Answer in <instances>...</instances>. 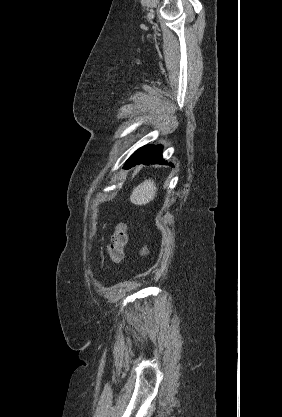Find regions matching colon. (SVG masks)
<instances>
[{
  "label": "colon",
  "mask_w": 282,
  "mask_h": 417,
  "mask_svg": "<svg viewBox=\"0 0 282 417\" xmlns=\"http://www.w3.org/2000/svg\"><path fill=\"white\" fill-rule=\"evenodd\" d=\"M127 242L128 234L126 228L123 225H117L108 244V253L111 262L118 263L122 260ZM146 250L147 245L142 246L141 252L144 253Z\"/></svg>",
  "instance_id": "1"
}]
</instances>
